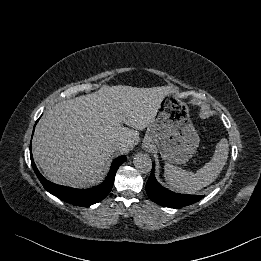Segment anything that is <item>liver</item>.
Wrapping results in <instances>:
<instances>
[{"mask_svg":"<svg viewBox=\"0 0 261 261\" xmlns=\"http://www.w3.org/2000/svg\"><path fill=\"white\" fill-rule=\"evenodd\" d=\"M173 91L172 86L104 85L55 104L35 129V162L54 183L83 188L99 184L115 151L112 145L120 142L118 151L123 153L132 148L161 99Z\"/></svg>","mask_w":261,"mask_h":261,"instance_id":"liver-1","label":"liver"}]
</instances>
